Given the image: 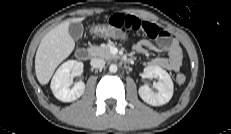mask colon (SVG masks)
Returning a JSON list of instances; mask_svg holds the SVG:
<instances>
[{"instance_id":"obj_1","label":"colon","mask_w":231,"mask_h":134,"mask_svg":"<svg viewBox=\"0 0 231 134\" xmlns=\"http://www.w3.org/2000/svg\"><path fill=\"white\" fill-rule=\"evenodd\" d=\"M91 32L101 38H112L122 41H129L131 39V35L128 32L109 25H96L92 27ZM176 81L179 84H183L186 81V76L180 73L176 76Z\"/></svg>"}]
</instances>
